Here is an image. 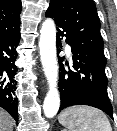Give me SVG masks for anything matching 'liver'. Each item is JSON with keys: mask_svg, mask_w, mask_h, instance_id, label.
<instances>
[{"mask_svg": "<svg viewBox=\"0 0 117 131\" xmlns=\"http://www.w3.org/2000/svg\"><path fill=\"white\" fill-rule=\"evenodd\" d=\"M13 120L11 116L0 108V131H12Z\"/></svg>", "mask_w": 117, "mask_h": 131, "instance_id": "liver-1", "label": "liver"}]
</instances>
